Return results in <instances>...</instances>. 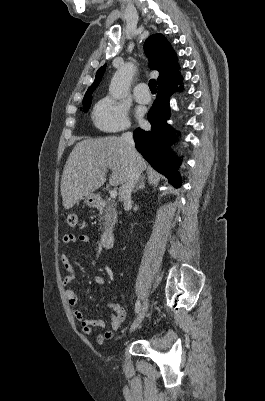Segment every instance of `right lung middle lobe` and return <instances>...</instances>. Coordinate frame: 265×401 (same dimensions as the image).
<instances>
[{
  "label": "right lung middle lobe",
  "instance_id": "obj_1",
  "mask_svg": "<svg viewBox=\"0 0 265 401\" xmlns=\"http://www.w3.org/2000/svg\"><path fill=\"white\" fill-rule=\"evenodd\" d=\"M91 103V98L88 100L83 101L84 104V111H87Z\"/></svg>",
  "mask_w": 265,
  "mask_h": 401
}]
</instances>
